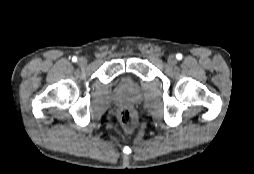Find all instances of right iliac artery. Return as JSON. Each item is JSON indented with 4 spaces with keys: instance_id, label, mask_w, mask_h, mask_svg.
Returning a JSON list of instances; mask_svg holds the SVG:
<instances>
[{
    "instance_id": "82829eb1",
    "label": "right iliac artery",
    "mask_w": 254,
    "mask_h": 174,
    "mask_svg": "<svg viewBox=\"0 0 254 174\" xmlns=\"http://www.w3.org/2000/svg\"><path fill=\"white\" fill-rule=\"evenodd\" d=\"M72 61H73V62H76V61H77V57L74 56V57L72 58Z\"/></svg>"
}]
</instances>
